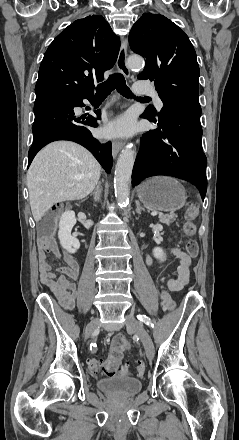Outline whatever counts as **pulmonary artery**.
<instances>
[{"instance_id": "1", "label": "pulmonary artery", "mask_w": 239, "mask_h": 440, "mask_svg": "<svg viewBox=\"0 0 239 440\" xmlns=\"http://www.w3.org/2000/svg\"><path fill=\"white\" fill-rule=\"evenodd\" d=\"M133 90H134L136 93H139V94H141V93H146V92H147L145 89H143V88L140 86L139 83L134 84V86H133ZM155 98H156L157 108H158L159 110H161V108L163 107V103H162V101H161V99L159 98L158 95H156Z\"/></svg>"}]
</instances>
